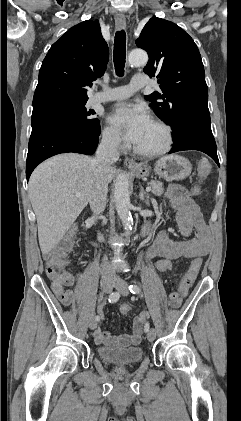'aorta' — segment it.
<instances>
[{
	"label": "aorta",
	"instance_id": "762f6f07",
	"mask_svg": "<svg viewBox=\"0 0 241 421\" xmlns=\"http://www.w3.org/2000/svg\"><path fill=\"white\" fill-rule=\"evenodd\" d=\"M148 61L147 53L141 49L132 50L128 56V62L131 66H141ZM114 201L116 211L122 221L125 235L128 237L133 225V219L130 213V193L129 182L126 173H121L115 183Z\"/></svg>",
	"mask_w": 241,
	"mask_h": 421
}]
</instances>
